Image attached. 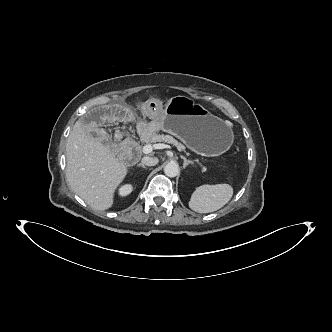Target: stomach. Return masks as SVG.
I'll return each mask as SVG.
<instances>
[{"instance_id":"stomach-1","label":"stomach","mask_w":332,"mask_h":332,"mask_svg":"<svg viewBox=\"0 0 332 332\" xmlns=\"http://www.w3.org/2000/svg\"><path fill=\"white\" fill-rule=\"evenodd\" d=\"M156 127L170 133L191 150L205 156H217L233 143L232 128L200 104L185 96L172 97L155 118Z\"/></svg>"}]
</instances>
